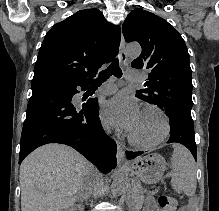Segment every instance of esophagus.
I'll use <instances>...</instances> for the list:
<instances>
[{
	"instance_id": "34e87169",
	"label": "esophagus",
	"mask_w": 219,
	"mask_h": 211,
	"mask_svg": "<svg viewBox=\"0 0 219 211\" xmlns=\"http://www.w3.org/2000/svg\"><path fill=\"white\" fill-rule=\"evenodd\" d=\"M119 60L122 66L126 65L127 54L125 52V40L121 32V41L119 46ZM117 161L119 165L128 164L125 160V152L121 144H117Z\"/></svg>"
}]
</instances>
